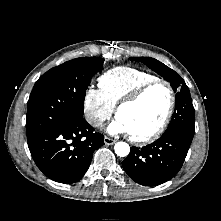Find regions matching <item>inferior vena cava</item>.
I'll return each instance as SVG.
<instances>
[{"mask_svg": "<svg viewBox=\"0 0 221 221\" xmlns=\"http://www.w3.org/2000/svg\"><path fill=\"white\" fill-rule=\"evenodd\" d=\"M90 122L94 127H100L103 124V121L97 118L91 119Z\"/></svg>", "mask_w": 221, "mask_h": 221, "instance_id": "inferior-vena-cava-1", "label": "inferior vena cava"}]
</instances>
